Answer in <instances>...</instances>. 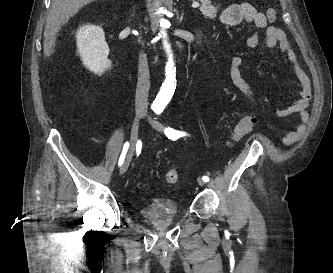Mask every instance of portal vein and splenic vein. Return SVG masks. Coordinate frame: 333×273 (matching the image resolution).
Segmentation results:
<instances>
[{"label": "portal vein and splenic vein", "mask_w": 333, "mask_h": 273, "mask_svg": "<svg viewBox=\"0 0 333 273\" xmlns=\"http://www.w3.org/2000/svg\"><path fill=\"white\" fill-rule=\"evenodd\" d=\"M200 6V4L198 3V2H194L193 4H192V7L193 8H197V7H199Z\"/></svg>", "instance_id": "obj_1"}]
</instances>
